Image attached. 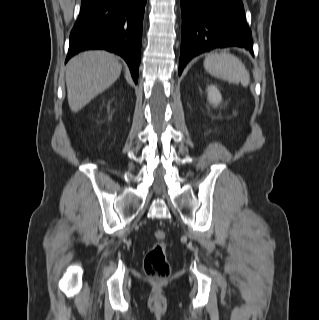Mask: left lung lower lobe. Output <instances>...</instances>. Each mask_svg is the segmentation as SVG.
Returning a JSON list of instances; mask_svg holds the SVG:
<instances>
[{"label": "left lung lower lobe", "mask_w": 319, "mask_h": 320, "mask_svg": "<svg viewBox=\"0 0 319 320\" xmlns=\"http://www.w3.org/2000/svg\"><path fill=\"white\" fill-rule=\"evenodd\" d=\"M181 74L193 57L214 48L242 47L253 54V41L242 0H181Z\"/></svg>", "instance_id": "1"}]
</instances>
